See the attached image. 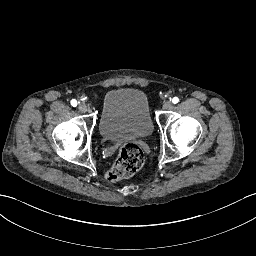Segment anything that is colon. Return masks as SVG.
<instances>
[{
  "label": "colon",
  "instance_id": "obj_1",
  "mask_svg": "<svg viewBox=\"0 0 256 256\" xmlns=\"http://www.w3.org/2000/svg\"><path fill=\"white\" fill-rule=\"evenodd\" d=\"M145 164V155L141 147L134 143H125L119 149V155L113 167L105 174L108 182L134 175Z\"/></svg>",
  "mask_w": 256,
  "mask_h": 256
}]
</instances>
